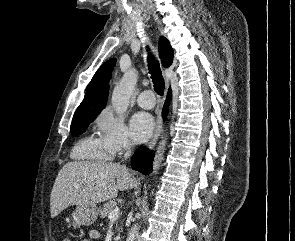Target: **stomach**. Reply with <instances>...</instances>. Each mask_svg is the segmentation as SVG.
<instances>
[{"label":"stomach","instance_id":"0dacf381","mask_svg":"<svg viewBox=\"0 0 295 241\" xmlns=\"http://www.w3.org/2000/svg\"><path fill=\"white\" fill-rule=\"evenodd\" d=\"M99 209L94 205H77L71 214V224L74 228L80 226H89L93 224L98 217Z\"/></svg>","mask_w":295,"mask_h":241}]
</instances>
